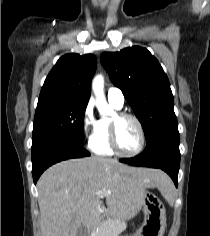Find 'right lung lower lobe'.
<instances>
[{"mask_svg":"<svg viewBox=\"0 0 210 236\" xmlns=\"http://www.w3.org/2000/svg\"><path fill=\"white\" fill-rule=\"evenodd\" d=\"M84 145L61 138H44L32 144V175L36 184L38 178L49 166L70 158L89 156Z\"/></svg>","mask_w":210,"mask_h":236,"instance_id":"98d812e1","label":"right lung lower lobe"}]
</instances>
